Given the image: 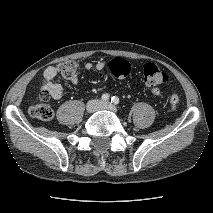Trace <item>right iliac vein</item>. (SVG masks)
Returning <instances> with one entry per match:
<instances>
[{"mask_svg": "<svg viewBox=\"0 0 213 213\" xmlns=\"http://www.w3.org/2000/svg\"><path fill=\"white\" fill-rule=\"evenodd\" d=\"M101 106V102L99 100H91L87 103L86 111L88 113H93L97 111Z\"/></svg>", "mask_w": 213, "mask_h": 213, "instance_id": "obj_1", "label": "right iliac vein"}]
</instances>
